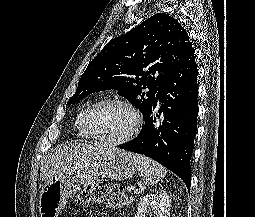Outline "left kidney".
I'll return each mask as SVG.
<instances>
[{"instance_id":"left-kidney-1","label":"left kidney","mask_w":255,"mask_h":217,"mask_svg":"<svg viewBox=\"0 0 255 217\" xmlns=\"http://www.w3.org/2000/svg\"><path fill=\"white\" fill-rule=\"evenodd\" d=\"M156 210V217H170L171 200L166 192L146 194L138 203L135 217H146L150 209Z\"/></svg>"}]
</instances>
